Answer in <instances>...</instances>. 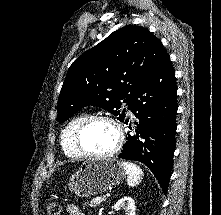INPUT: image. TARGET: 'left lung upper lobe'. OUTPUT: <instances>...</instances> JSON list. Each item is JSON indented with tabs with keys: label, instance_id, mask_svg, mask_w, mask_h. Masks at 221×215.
<instances>
[{
	"label": "left lung upper lobe",
	"instance_id": "5c2ea615",
	"mask_svg": "<svg viewBox=\"0 0 221 215\" xmlns=\"http://www.w3.org/2000/svg\"><path fill=\"white\" fill-rule=\"evenodd\" d=\"M168 56L146 28L127 25L113 32L68 69L56 120L64 122L81 108L94 105L123 122L121 101L129 106L141 84Z\"/></svg>",
	"mask_w": 221,
	"mask_h": 215
}]
</instances>
